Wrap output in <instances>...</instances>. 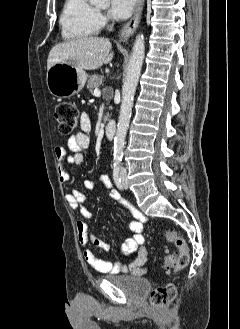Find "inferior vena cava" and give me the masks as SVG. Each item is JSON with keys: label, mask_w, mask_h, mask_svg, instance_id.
<instances>
[{"label": "inferior vena cava", "mask_w": 240, "mask_h": 329, "mask_svg": "<svg viewBox=\"0 0 240 329\" xmlns=\"http://www.w3.org/2000/svg\"><path fill=\"white\" fill-rule=\"evenodd\" d=\"M121 173H122V174L126 173V169L121 168Z\"/></svg>", "instance_id": "inferior-vena-cava-1"}]
</instances>
